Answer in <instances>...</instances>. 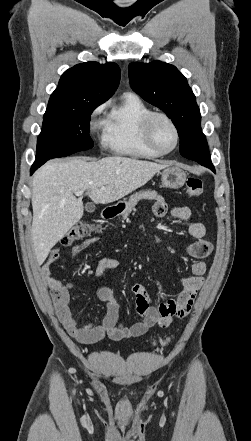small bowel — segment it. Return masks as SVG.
I'll list each match as a JSON object with an SVG mask.
<instances>
[{
	"mask_svg": "<svg viewBox=\"0 0 251 441\" xmlns=\"http://www.w3.org/2000/svg\"><path fill=\"white\" fill-rule=\"evenodd\" d=\"M153 212L159 218L170 214L172 217L188 223L189 234L195 241L189 244L185 250L195 261L190 268L191 275L180 278L182 290L176 300H168L160 303L158 306H153L142 284L135 283L131 286V292L135 298L136 311L142 317V320L130 327L123 326L119 321V304L111 290L104 285H99L95 289L96 296L106 303V313L102 322L100 324L79 322L70 309V289L73 287V284L58 280L51 273V266L57 262L60 256L57 247L52 249L47 260L40 267V277L49 289L60 321L67 332L78 342L94 344L105 337L115 341L139 337L154 326L167 328L170 326L173 318H183L190 312L196 294L204 283V276L207 271L204 259L211 254L212 244L204 239L205 226L200 222L192 220V211L189 207L180 206L169 209L164 201L158 200L154 204ZM97 241V238L92 237L74 246L72 257H76L80 252ZM119 265L118 259L103 257L97 261L93 270V276L100 277L108 270L118 268Z\"/></svg>",
	"mask_w": 251,
	"mask_h": 441,
	"instance_id": "small-bowel-1",
	"label": "small bowel"
}]
</instances>
